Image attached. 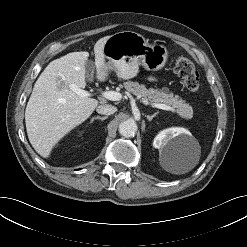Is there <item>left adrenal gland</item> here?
<instances>
[{"label":"left adrenal gland","mask_w":247,"mask_h":247,"mask_svg":"<svg viewBox=\"0 0 247 247\" xmlns=\"http://www.w3.org/2000/svg\"><path fill=\"white\" fill-rule=\"evenodd\" d=\"M158 114V112H156V113H154L153 115H147V119L149 120V121H151L156 115Z\"/></svg>","instance_id":"1"}]
</instances>
